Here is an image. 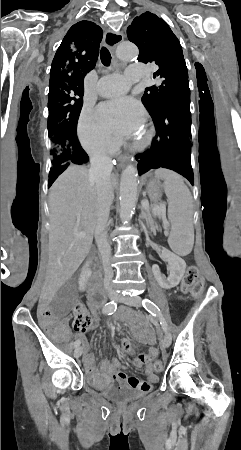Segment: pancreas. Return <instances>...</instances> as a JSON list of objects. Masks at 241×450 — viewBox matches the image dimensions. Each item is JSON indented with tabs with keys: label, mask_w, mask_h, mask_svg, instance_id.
<instances>
[{
	"label": "pancreas",
	"mask_w": 241,
	"mask_h": 450,
	"mask_svg": "<svg viewBox=\"0 0 241 450\" xmlns=\"http://www.w3.org/2000/svg\"><path fill=\"white\" fill-rule=\"evenodd\" d=\"M144 218H146V220H148L149 224H154V222H153V216H152V214H150V212L147 213V214H144ZM151 230H152V229H151ZM154 234H155V232H154Z\"/></svg>",
	"instance_id": "obj_1"
}]
</instances>
